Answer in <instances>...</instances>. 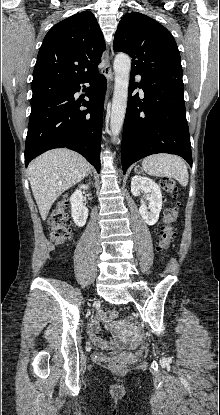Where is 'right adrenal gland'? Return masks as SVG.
<instances>
[{"label":"right adrenal gland","mask_w":220,"mask_h":415,"mask_svg":"<svg viewBox=\"0 0 220 415\" xmlns=\"http://www.w3.org/2000/svg\"><path fill=\"white\" fill-rule=\"evenodd\" d=\"M89 175L92 176V172L91 171L89 172Z\"/></svg>","instance_id":"obj_1"}]
</instances>
